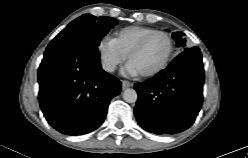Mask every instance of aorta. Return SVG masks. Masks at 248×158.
<instances>
[{
    "label": "aorta",
    "mask_w": 248,
    "mask_h": 158,
    "mask_svg": "<svg viewBox=\"0 0 248 158\" xmlns=\"http://www.w3.org/2000/svg\"><path fill=\"white\" fill-rule=\"evenodd\" d=\"M137 92L134 89H126L123 92V99L128 103H135L137 101Z\"/></svg>",
    "instance_id": "obj_1"
}]
</instances>
